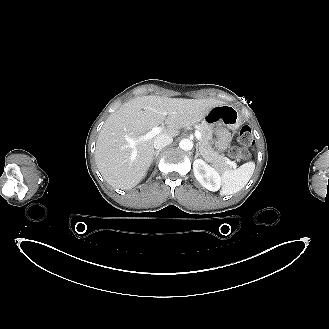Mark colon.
<instances>
[{
    "label": "colon",
    "instance_id": "colon-1",
    "mask_svg": "<svg viewBox=\"0 0 329 329\" xmlns=\"http://www.w3.org/2000/svg\"><path fill=\"white\" fill-rule=\"evenodd\" d=\"M238 140L241 147H231L229 155L235 159L247 160L251 157V153L248 149L254 143L253 131L248 125H243L238 134Z\"/></svg>",
    "mask_w": 329,
    "mask_h": 329
}]
</instances>
